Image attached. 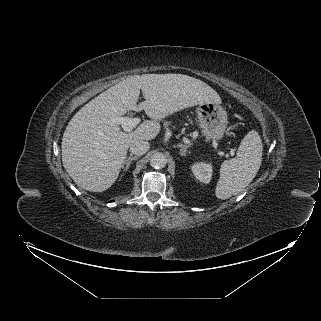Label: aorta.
Listing matches in <instances>:
<instances>
[{
	"label": "aorta",
	"instance_id": "obj_1",
	"mask_svg": "<svg viewBox=\"0 0 321 321\" xmlns=\"http://www.w3.org/2000/svg\"><path fill=\"white\" fill-rule=\"evenodd\" d=\"M167 159L162 153H155L150 159V165L156 169L166 166Z\"/></svg>",
	"mask_w": 321,
	"mask_h": 321
}]
</instances>
